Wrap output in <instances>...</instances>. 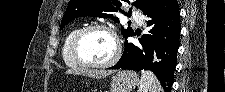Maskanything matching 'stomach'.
<instances>
[{
    "instance_id": "stomach-1",
    "label": "stomach",
    "mask_w": 225,
    "mask_h": 92,
    "mask_svg": "<svg viewBox=\"0 0 225 92\" xmlns=\"http://www.w3.org/2000/svg\"><path fill=\"white\" fill-rule=\"evenodd\" d=\"M138 84V75L134 71H119L112 78L110 92H131Z\"/></svg>"
}]
</instances>
